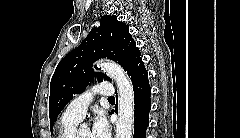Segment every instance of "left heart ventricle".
I'll use <instances>...</instances> for the list:
<instances>
[{"label": "left heart ventricle", "instance_id": "b2bd125f", "mask_svg": "<svg viewBox=\"0 0 240 138\" xmlns=\"http://www.w3.org/2000/svg\"><path fill=\"white\" fill-rule=\"evenodd\" d=\"M79 138H92L90 130H88V129L80 130Z\"/></svg>", "mask_w": 240, "mask_h": 138}]
</instances>
